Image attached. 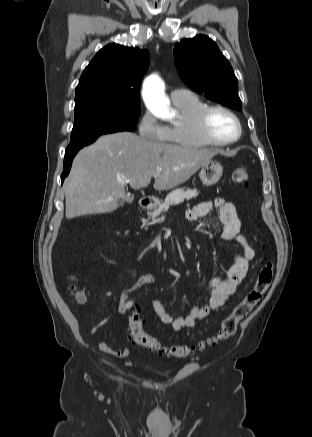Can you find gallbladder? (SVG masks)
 I'll list each match as a JSON object with an SVG mask.
<instances>
[{
    "instance_id": "gallbladder-1",
    "label": "gallbladder",
    "mask_w": 312,
    "mask_h": 437,
    "mask_svg": "<svg viewBox=\"0 0 312 437\" xmlns=\"http://www.w3.org/2000/svg\"><path fill=\"white\" fill-rule=\"evenodd\" d=\"M126 200L128 201V202H132L133 201V196H127L126 197ZM123 201H120V205H123Z\"/></svg>"
}]
</instances>
